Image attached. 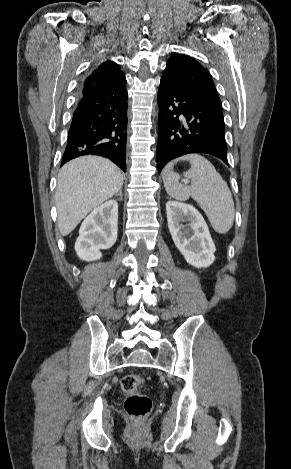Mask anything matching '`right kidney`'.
Returning a JSON list of instances; mask_svg holds the SVG:
<instances>
[{"label":"right kidney","mask_w":291,"mask_h":469,"mask_svg":"<svg viewBox=\"0 0 291 469\" xmlns=\"http://www.w3.org/2000/svg\"><path fill=\"white\" fill-rule=\"evenodd\" d=\"M118 203L109 200L93 210L83 221L75 243L78 257L84 261L99 260L100 250L111 248L117 240Z\"/></svg>","instance_id":"1"}]
</instances>
